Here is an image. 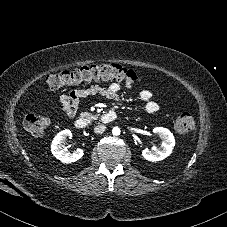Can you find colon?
I'll return each mask as SVG.
<instances>
[{
	"label": "colon",
	"mask_w": 227,
	"mask_h": 227,
	"mask_svg": "<svg viewBox=\"0 0 227 227\" xmlns=\"http://www.w3.org/2000/svg\"><path fill=\"white\" fill-rule=\"evenodd\" d=\"M99 79L119 80L127 85H134L139 82L138 75L131 69L115 63H100L53 73L46 78V83L50 89L58 90ZM49 124V118L43 115L29 114L24 118V125L32 135L43 134ZM193 126L194 118L188 112L181 113L174 122L175 130L180 133L190 131Z\"/></svg>",
	"instance_id": "colon-1"
}]
</instances>
